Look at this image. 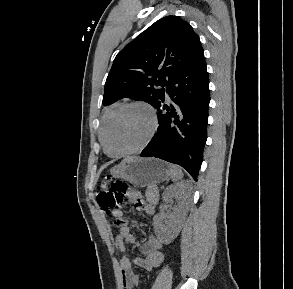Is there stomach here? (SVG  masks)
<instances>
[{"mask_svg":"<svg viewBox=\"0 0 293 289\" xmlns=\"http://www.w3.org/2000/svg\"><path fill=\"white\" fill-rule=\"evenodd\" d=\"M110 173L137 187L153 186L170 175L169 164L156 158L128 157L113 167Z\"/></svg>","mask_w":293,"mask_h":289,"instance_id":"1","label":"stomach"}]
</instances>
